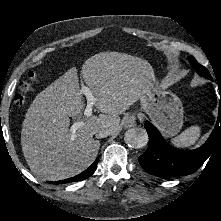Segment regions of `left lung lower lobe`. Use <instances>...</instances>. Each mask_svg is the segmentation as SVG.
Returning a JSON list of instances; mask_svg holds the SVG:
<instances>
[{"label":"left lung lower lobe","mask_w":221,"mask_h":221,"mask_svg":"<svg viewBox=\"0 0 221 221\" xmlns=\"http://www.w3.org/2000/svg\"><path fill=\"white\" fill-rule=\"evenodd\" d=\"M221 103V102H220ZM149 135V146L139 157V163L149 174L177 177L194 173L216 148H221V106L218 120L204 145L195 150H180L170 146L150 122L144 124Z\"/></svg>","instance_id":"0a47b994"}]
</instances>
